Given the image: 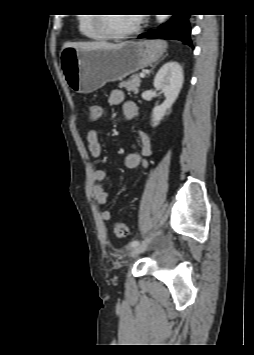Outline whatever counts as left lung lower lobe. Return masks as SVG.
<instances>
[{"label":"left lung lower lobe","instance_id":"left-lung-lower-lobe-1","mask_svg":"<svg viewBox=\"0 0 254 355\" xmlns=\"http://www.w3.org/2000/svg\"><path fill=\"white\" fill-rule=\"evenodd\" d=\"M189 15H174L166 24L156 30H149L139 38L145 36L148 39L174 38L192 47L190 40L191 28L188 21Z\"/></svg>","mask_w":254,"mask_h":355}]
</instances>
